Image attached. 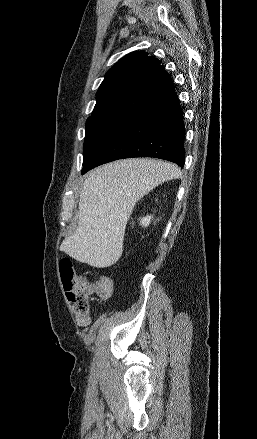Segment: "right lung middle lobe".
<instances>
[{
  "mask_svg": "<svg viewBox=\"0 0 257 439\" xmlns=\"http://www.w3.org/2000/svg\"><path fill=\"white\" fill-rule=\"evenodd\" d=\"M127 118L119 116L89 117L83 147V165L94 155L116 128Z\"/></svg>",
  "mask_w": 257,
  "mask_h": 439,
  "instance_id": "1",
  "label": "right lung middle lobe"
}]
</instances>
